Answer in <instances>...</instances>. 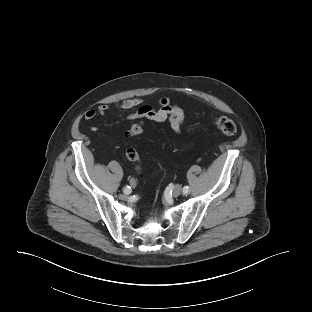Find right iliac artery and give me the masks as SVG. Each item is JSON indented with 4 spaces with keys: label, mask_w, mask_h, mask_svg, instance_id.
Returning <instances> with one entry per match:
<instances>
[{
    "label": "right iliac artery",
    "mask_w": 312,
    "mask_h": 312,
    "mask_svg": "<svg viewBox=\"0 0 312 312\" xmlns=\"http://www.w3.org/2000/svg\"><path fill=\"white\" fill-rule=\"evenodd\" d=\"M123 191H124L125 194H129L131 192V187L130 186H126Z\"/></svg>",
    "instance_id": "1"
}]
</instances>
